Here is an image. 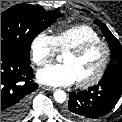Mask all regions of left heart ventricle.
Returning <instances> with one entry per match:
<instances>
[{
    "label": "left heart ventricle",
    "instance_id": "left-heart-ventricle-1",
    "mask_svg": "<svg viewBox=\"0 0 122 122\" xmlns=\"http://www.w3.org/2000/svg\"><path fill=\"white\" fill-rule=\"evenodd\" d=\"M103 57V48L97 46L79 57L66 53L63 56V62L73 69L76 81H85L96 74L102 64Z\"/></svg>",
    "mask_w": 122,
    "mask_h": 122
}]
</instances>
